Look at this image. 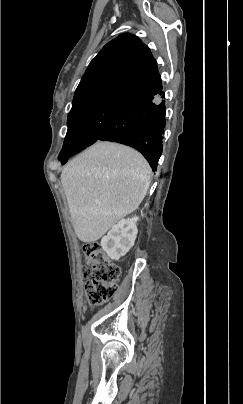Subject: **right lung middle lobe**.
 <instances>
[{"mask_svg": "<svg viewBox=\"0 0 243 404\" xmlns=\"http://www.w3.org/2000/svg\"><path fill=\"white\" fill-rule=\"evenodd\" d=\"M126 103L122 100H102L71 110L68 114L67 134L59 154L62 164L95 143Z\"/></svg>", "mask_w": 243, "mask_h": 404, "instance_id": "right-lung-middle-lobe-1", "label": "right lung middle lobe"}]
</instances>
